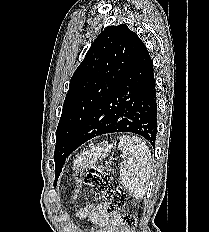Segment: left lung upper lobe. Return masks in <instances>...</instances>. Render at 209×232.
<instances>
[{"label": "left lung upper lobe", "mask_w": 209, "mask_h": 232, "mask_svg": "<svg viewBox=\"0 0 209 232\" xmlns=\"http://www.w3.org/2000/svg\"><path fill=\"white\" fill-rule=\"evenodd\" d=\"M141 39L125 24L108 26L95 39L74 72L56 130L55 179L78 129L130 68Z\"/></svg>", "instance_id": "left-lung-upper-lobe-1"}]
</instances>
